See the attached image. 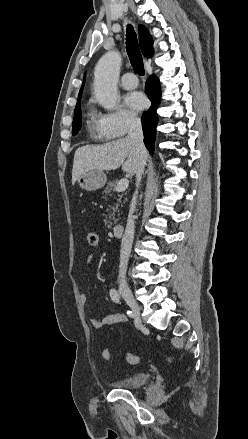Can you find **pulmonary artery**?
Here are the masks:
<instances>
[{
  "mask_svg": "<svg viewBox=\"0 0 248 439\" xmlns=\"http://www.w3.org/2000/svg\"><path fill=\"white\" fill-rule=\"evenodd\" d=\"M120 84L126 90L135 89L138 86V79L134 73L128 72L121 77Z\"/></svg>",
  "mask_w": 248,
  "mask_h": 439,
  "instance_id": "1",
  "label": "pulmonary artery"
}]
</instances>
